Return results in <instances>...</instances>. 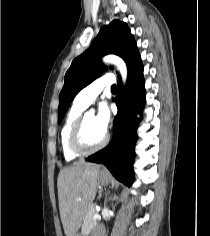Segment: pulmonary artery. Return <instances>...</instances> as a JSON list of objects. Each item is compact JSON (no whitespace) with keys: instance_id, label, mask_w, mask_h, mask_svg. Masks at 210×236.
I'll return each mask as SVG.
<instances>
[{"instance_id":"e3ab8cb5","label":"pulmonary artery","mask_w":210,"mask_h":236,"mask_svg":"<svg viewBox=\"0 0 210 236\" xmlns=\"http://www.w3.org/2000/svg\"><path fill=\"white\" fill-rule=\"evenodd\" d=\"M115 78L111 74H107L82 89L75 98V102L84 108L88 107L93 100L100 94L104 87L112 86Z\"/></svg>"}]
</instances>
